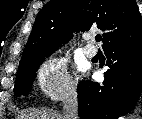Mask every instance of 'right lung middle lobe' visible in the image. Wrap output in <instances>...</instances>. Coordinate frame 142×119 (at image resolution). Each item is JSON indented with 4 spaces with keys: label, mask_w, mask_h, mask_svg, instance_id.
<instances>
[{
    "label": "right lung middle lobe",
    "mask_w": 142,
    "mask_h": 119,
    "mask_svg": "<svg viewBox=\"0 0 142 119\" xmlns=\"http://www.w3.org/2000/svg\"><path fill=\"white\" fill-rule=\"evenodd\" d=\"M51 53L42 55L30 63L19 67L14 86V93L16 96L27 95L31 89L32 82L36 76V71L39 66Z\"/></svg>",
    "instance_id": "dd1d6c3e"
}]
</instances>
